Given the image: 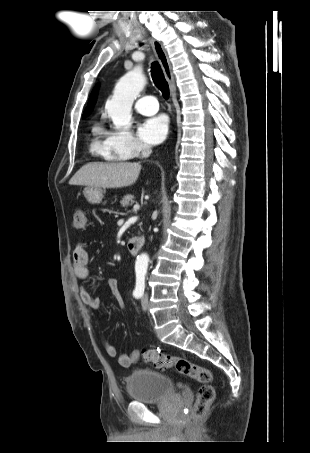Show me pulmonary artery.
Returning <instances> with one entry per match:
<instances>
[{"mask_svg":"<svg viewBox=\"0 0 310 453\" xmlns=\"http://www.w3.org/2000/svg\"><path fill=\"white\" fill-rule=\"evenodd\" d=\"M137 112L143 115H152L155 114L158 109L159 105L154 96H142L135 102L134 105Z\"/></svg>","mask_w":310,"mask_h":453,"instance_id":"obj_1","label":"pulmonary artery"}]
</instances>
